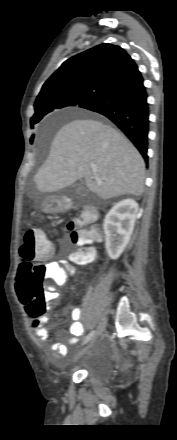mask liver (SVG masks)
<instances>
[{"instance_id": "liver-1", "label": "liver", "mask_w": 177, "mask_h": 440, "mask_svg": "<svg viewBox=\"0 0 177 440\" xmlns=\"http://www.w3.org/2000/svg\"><path fill=\"white\" fill-rule=\"evenodd\" d=\"M93 167L101 184L93 176ZM81 177L102 199L124 194L140 196L145 163L132 143L113 127L98 120L77 119L57 132L34 181L40 192L53 193Z\"/></svg>"}]
</instances>
